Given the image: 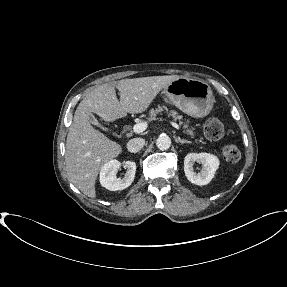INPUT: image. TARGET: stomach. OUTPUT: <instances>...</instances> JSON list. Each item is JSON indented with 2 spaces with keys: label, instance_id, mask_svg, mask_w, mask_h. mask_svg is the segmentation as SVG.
Wrapping results in <instances>:
<instances>
[{
  "label": "stomach",
  "instance_id": "obj_1",
  "mask_svg": "<svg viewBox=\"0 0 287 287\" xmlns=\"http://www.w3.org/2000/svg\"><path fill=\"white\" fill-rule=\"evenodd\" d=\"M162 94L177 108L193 117H204L213 108L210 86L201 80L179 77L167 85Z\"/></svg>",
  "mask_w": 287,
  "mask_h": 287
}]
</instances>
